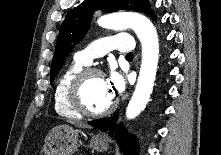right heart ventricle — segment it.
<instances>
[{
  "label": "right heart ventricle",
  "mask_w": 221,
  "mask_h": 155,
  "mask_svg": "<svg viewBox=\"0 0 221 155\" xmlns=\"http://www.w3.org/2000/svg\"><path fill=\"white\" fill-rule=\"evenodd\" d=\"M85 64L75 61L68 66L57 80L54 90V107L56 112L66 118L78 119L81 117L74 111L67 100V89L73 77L84 68Z\"/></svg>",
  "instance_id": "obj_1"
}]
</instances>
